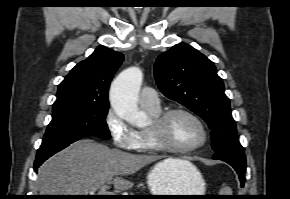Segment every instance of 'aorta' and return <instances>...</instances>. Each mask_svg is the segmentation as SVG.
<instances>
[{"label":"aorta","instance_id":"762f6f07","mask_svg":"<svg viewBox=\"0 0 290 199\" xmlns=\"http://www.w3.org/2000/svg\"><path fill=\"white\" fill-rule=\"evenodd\" d=\"M142 80V71L138 67H131L116 77L110 89V101L114 111L136 127L148 124V116L138 107V93Z\"/></svg>","mask_w":290,"mask_h":199}]
</instances>
